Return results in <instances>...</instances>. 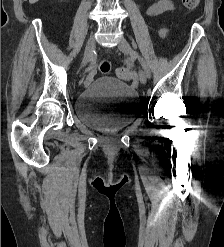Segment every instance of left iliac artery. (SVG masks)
<instances>
[{
  "mask_svg": "<svg viewBox=\"0 0 224 247\" xmlns=\"http://www.w3.org/2000/svg\"><path fill=\"white\" fill-rule=\"evenodd\" d=\"M135 55H136V57L138 58V60L140 61L141 65H142V67H143V69H144V71H145V73H146V76H147L148 78H150L151 73H150V69H149L147 63H146L145 60H144L141 56H139L137 53H135Z\"/></svg>",
  "mask_w": 224,
  "mask_h": 247,
  "instance_id": "1",
  "label": "left iliac artery"
}]
</instances>
